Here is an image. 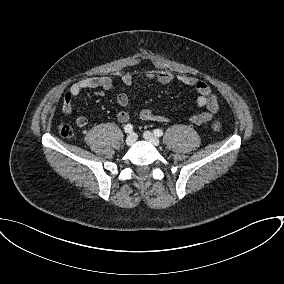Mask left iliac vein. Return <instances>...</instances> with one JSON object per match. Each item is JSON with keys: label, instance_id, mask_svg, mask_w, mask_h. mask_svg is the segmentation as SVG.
<instances>
[{"label": "left iliac vein", "instance_id": "4c4485c4", "mask_svg": "<svg viewBox=\"0 0 284 284\" xmlns=\"http://www.w3.org/2000/svg\"><path fill=\"white\" fill-rule=\"evenodd\" d=\"M143 137L149 141L150 143H152L154 146H159L160 141L159 139L150 131H145L143 133Z\"/></svg>", "mask_w": 284, "mask_h": 284}]
</instances>
